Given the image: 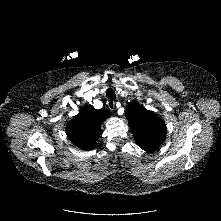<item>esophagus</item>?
Here are the masks:
<instances>
[{
    "label": "esophagus",
    "mask_w": 221,
    "mask_h": 221,
    "mask_svg": "<svg viewBox=\"0 0 221 221\" xmlns=\"http://www.w3.org/2000/svg\"><path fill=\"white\" fill-rule=\"evenodd\" d=\"M107 106L110 110H114L115 109V101H113V100L107 101Z\"/></svg>",
    "instance_id": "34e87169"
}]
</instances>
